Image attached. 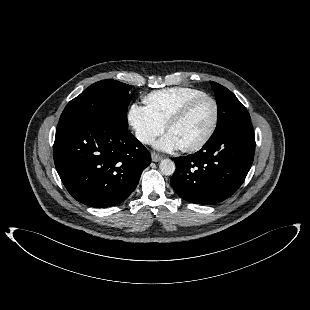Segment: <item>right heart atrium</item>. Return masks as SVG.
Masks as SVG:
<instances>
[{"mask_svg": "<svg viewBox=\"0 0 310 310\" xmlns=\"http://www.w3.org/2000/svg\"><path fill=\"white\" fill-rule=\"evenodd\" d=\"M127 120L136 139L145 145L151 144L166 128L146 106L137 103L130 106Z\"/></svg>", "mask_w": 310, "mask_h": 310, "instance_id": "d8ad5b80", "label": "right heart atrium"}]
</instances>
